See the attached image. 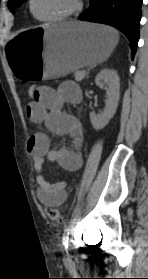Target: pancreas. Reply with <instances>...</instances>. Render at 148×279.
I'll use <instances>...</instances> for the list:
<instances>
[{
    "label": "pancreas",
    "mask_w": 148,
    "mask_h": 279,
    "mask_svg": "<svg viewBox=\"0 0 148 279\" xmlns=\"http://www.w3.org/2000/svg\"><path fill=\"white\" fill-rule=\"evenodd\" d=\"M81 74H82V71H75L74 72V78H75L76 81L80 82L84 79L85 76L82 77Z\"/></svg>",
    "instance_id": "1"
}]
</instances>
